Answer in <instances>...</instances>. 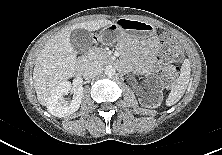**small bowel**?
Instances as JSON below:
<instances>
[{
  "label": "small bowel",
  "mask_w": 222,
  "mask_h": 155,
  "mask_svg": "<svg viewBox=\"0 0 222 155\" xmlns=\"http://www.w3.org/2000/svg\"><path fill=\"white\" fill-rule=\"evenodd\" d=\"M157 52H158L157 40L156 39L149 40L148 45L145 48V54L147 56V63H146L147 66H149L151 68H154L156 66Z\"/></svg>",
  "instance_id": "1"
}]
</instances>
